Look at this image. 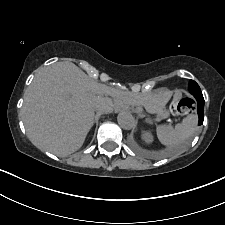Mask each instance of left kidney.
Instances as JSON below:
<instances>
[{
	"label": "left kidney",
	"instance_id": "5707ae66",
	"mask_svg": "<svg viewBox=\"0 0 225 225\" xmlns=\"http://www.w3.org/2000/svg\"><path fill=\"white\" fill-rule=\"evenodd\" d=\"M143 139L147 142V143H150L152 142L153 138H152V135L148 132H145L143 134Z\"/></svg>",
	"mask_w": 225,
	"mask_h": 225
}]
</instances>
